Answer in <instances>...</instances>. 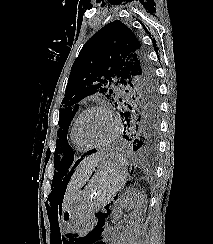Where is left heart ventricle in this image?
<instances>
[{
	"mask_svg": "<svg viewBox=\"0 0 213 244\" xmlns=\"http://www.w3.org/2000/svg\"><path fill=\"white\" fill-rule=\"evenodd\" d=\"M113 130L109 116L103 111L86 114L78 126V134L88 144H99L111 135Z\"/></svg>",
	"mask_w": 213,
	"mask_h": 244,
	"instance_id": "left-heart-ventricle-1",
	"label": "left heart ventricle"
}]
</instances>
